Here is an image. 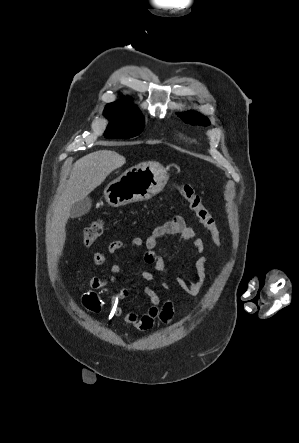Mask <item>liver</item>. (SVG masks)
Segmentation results:
<instances>
[{
	"label": "liver",
	"mask_w": 299,
	"mask_h": 443,
	"mask_svg": "<svg viewBox=\"0 0 299 443\" xmlns=\"http://www.w3.org/2000/svg\"><path fill=\"white\" fill-rule=\"evenodd\" d=\"M125 162L126 159L122 155L111 150H98L75 162L65 190L53 212L48 252L54 262H57L63 251L66 240L65 227L72 204L85 198Z\"/></svg>",
	"instance_id": "liver-1"
}]
</instances>
